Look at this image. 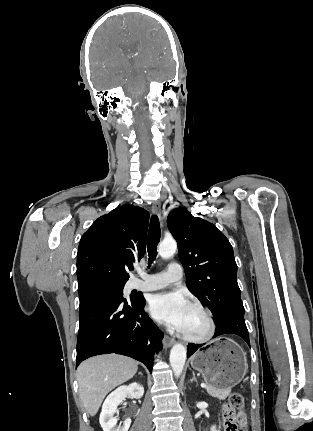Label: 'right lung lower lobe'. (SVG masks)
<instances>
[{"instance_id": "98d812e1", "label": "right lung lower lobe", "mask_w": 313, "mask_h": 431, "mask_svg": "<svg viewBox=\"0 0 313 431\" xmlns=\"http://www.w3.org/2000/svg\"><path fill=\"white\" fill-rule=\"evenodd\" d=\"M76 367L85 359L107 353L132 357L152 371L155 351L162 349L163 332L143 312L142 295L96 288L79 293Z\"/></svg>"}]
</instances>
